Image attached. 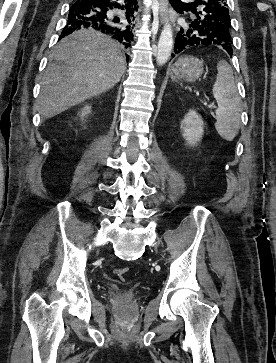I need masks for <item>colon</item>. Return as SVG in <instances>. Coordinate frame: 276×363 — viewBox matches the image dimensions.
Here are the masks:
<instances>
[{
  "label": "colon",
  "mask_w": 276,
  "mask_h": 363,
  "mask_svg": "<svg viewBox=\"0 0 276 363\" xmlns=\"http://www.w3.org/2000/svg\"><path fill=\"white\" fill-rule=\"evenodd\" d=\"M128 268L127 267H123V268H118V269H116L115 271H114V273L118 276V277H120V278H123L125 275H126V273L128 272Z\"/></svg>",
  "instance_id": "obj_1"
}]
</instances>
